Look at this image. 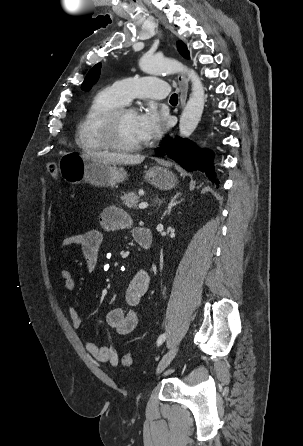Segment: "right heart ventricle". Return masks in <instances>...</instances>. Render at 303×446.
Masks as SVG:
<instances>
[{
	"mask_svg": "<svg viewBox=\"0 0 303 446\" xmlns=\"http://www.w3.org/2000/svg\"><path fill=\"white\" fill-rule=\"evenodd\" d=\"M126 102L118 95L113 86L99 91L87 107L84 116L80 120L77 132L76 143L88 151L105 150V145L101 134L100 126L104 115L110 110L123 106Z\"/></svg>",
	"mask_w": 303,
	"mask_h": 446,
	"instance_id": "1",
	"label": "right heart ventricle"
}]
</instances>
